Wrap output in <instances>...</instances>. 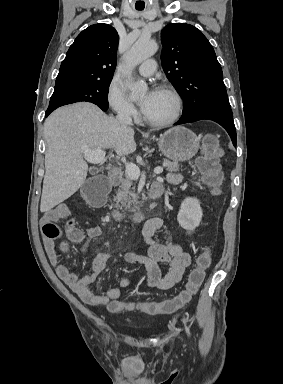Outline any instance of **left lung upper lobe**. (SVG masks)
I'll use <instances>...</instances> for the list:
<instances>
[{"instance_id":"obj_1","label":"left lung upper lobe","mask_w":283,"mask_h":384,"mask_svg":"<svg viewBox=\"0 0 283 384\" xmlns=\"http://www.w3.org/2000/svg\"><path fill=\"white\" fill-rule=\"evenodd\" d=\"M162 67L183 99L180 119L231 109L223 73L212 45L196 27L173 23L161 31Z\"/></svg>"}]
</instances>
